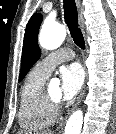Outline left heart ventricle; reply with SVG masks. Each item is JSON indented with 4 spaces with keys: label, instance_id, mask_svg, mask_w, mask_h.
<instances>
[{
    "label": "left heart ventricle",
    "instance_id": "left-heart-ventricle-1",
    "mask_svg": "<svg viewBox=\"0 0 116 134\" xmlns=\"http://www.w3.org/2000/svg\"><path fill=\"white\" fill-rule=\"evenodd\" d=\"M48 93H49V95H50L53 99L59 100V97H60V89H59L58 86H51V87H49Z\"/></svg>",
    "mask_w": 116,
    "mask_h": 134
}]
</instances>
